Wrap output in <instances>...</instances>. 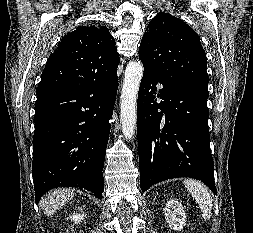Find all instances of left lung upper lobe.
Masks as SVG:
<instances>
[{
  "instance_id": "5c2ea615",
  "label": "left lung upper lobe",
  "mask_w": 253,
  "mask_h": 233,
  "mask_svg": "<svg viewBox=\"0 0 253 233\" xmlns=\"http://www.w3.org/2000/svg\"><path fill=\"white\" fill-rule=\"evenodd\" d=\"M144 67L166 84L208 86L207 59L200 38L185 22L159 13L148 24L139 48Z\"/></svg>"
}]
</instances>
